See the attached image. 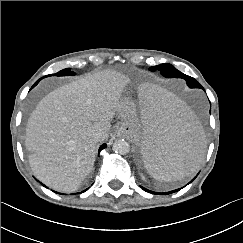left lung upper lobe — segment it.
<instances>
[{
    "mask_svg": "<svg viewBox=\"0 0 243 243\" xmlns=\"http://www.w3.org/2000/svg\"><path fill=\"white\" fill-rule=\"evenodd\" d=\"M150 70L151 71L159 70L160 73L165 77H168V78H172V77L183 78V79L186 80L187 83L189 82L192 85H196V87L200 86L199 82H197L194 78H192L188 75H185L182 72L178 71L171 64H162V65H158V66H153V67L150 68ZM197 88H199V87H197Z\"/></svg>",
    "mask_w": 243,
    "mask_h": 243,
    "instance_id": "obj_1",
    "label": "left lung upper lobe"
}]
</instances>
